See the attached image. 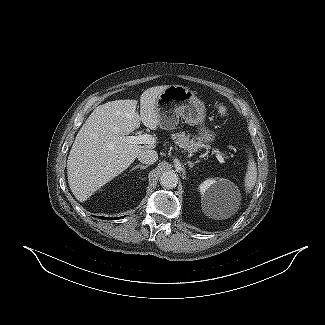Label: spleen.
Here are the masks:
<instances>
[{"instance_id": "spleen-1", "label": "spleen", "mask_w": 325, "mask_h": 325, "mask_svg": "<svg viewBox=\"0 0 325 325\" xmlns=\"http://www.w3.org/2000/svg\"><path fill=\"white\" fill-rule=\"evenodd\" d=\"M257 179V167L256 163L252 157V155H249V162L247 165V171L245 174V190L246 192H251V190L254 188L256 184Z\"/></svg>"}]
</instances>
